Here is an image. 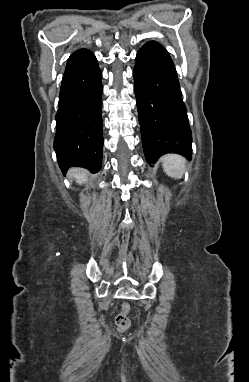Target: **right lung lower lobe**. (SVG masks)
I'll return each instance as SVG.
<instances>
[{"mask_svg":"<svg viewBox=\"0 0 249 382\" xmlns=\"http://www.w3.org/2000/svg\"><path fill=\"white\" fill-rule=\"evenodd\" d=\"M102 74L92 58L63 77L54 149L63 173L71 166H82L96 173L102 163Z\"/></svg>","mask_w":249,"mask_h":382,"instance_id":"right-lung-lower-lobe-1","label":"right lung lower lobe"}]
</instances>
